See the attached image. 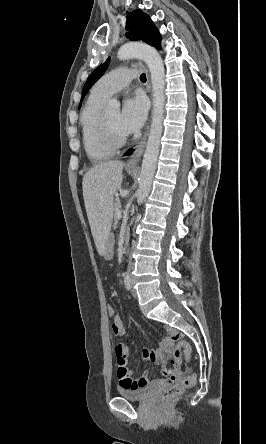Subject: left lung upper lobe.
I'll use <instances>...</instances> for the list:
<instances>
[{"instance_id": "left-lung-upper-lobe-1", "label": "left lung upper lobe", "mask_w": 266, "mask_h": 444, "mask_svg": "<svg viewBox=\"0 0 266 444\" xmlns=\"http://www.w3.org/2000/svg\"><path fill=\"white\" fill-rule=\"evenodd\" d=\"M126 18V30L128 31L126 36L129 37L130 40H143L158 49L160 48V34L147 14H144L140 10H135L129 13ZM109 62L110 59L108 58L105 63L91 73L83 87L81 102L88 90L104 74L109 66ZM80 107L81 104L79 105V108Z\"/></svg>"}]
</instances>
